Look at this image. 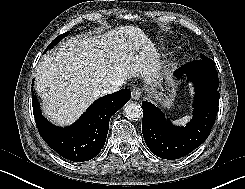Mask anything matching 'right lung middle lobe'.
Returning a JSON list of instances; mask_svg holds the SVG:
<instances>
[{
  "label": "right lung middle lobe",
  "mask_w": 245,
  "mask_h": 189,
  "mask_svg": "<svg viewBox=\"0 0 245 189\" xmlns=\"http://www.w3.org/2000/svg\"><path fill=\"white\" fill-rule=\"evenodd\" d=\"M68 34H69V32H66V33L61 34V35H59L58 37H56V38L52 41V43L47 47L46 50L52 49L54 45H56L61 39H63V38H64L65 36H67Z\"/></svg>",
  "instance_id": "obj_1"
}]
</instances>
